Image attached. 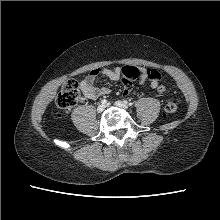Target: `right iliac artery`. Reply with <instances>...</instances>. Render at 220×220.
Wrapping results in <instances>:
<instances>
[{
  "label": "right iliac artery",
  "instance_id": "82829eb1",
  "mask_svg": "<svg viewBox=\"0 0 220 220\" xmlns=\"http://www.w3.org/2000/svg\"><path fill=\"white\" fill-rule=\"evenodd\" d=\"M101 103H102V104H106V103H107V100H106V99H103V100L101 101Z\"/></svg>",
  "mask_w": 220,
  "mask_h": 220
}]
</instances>
